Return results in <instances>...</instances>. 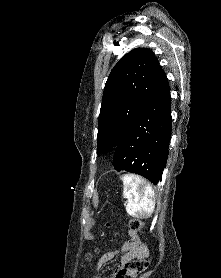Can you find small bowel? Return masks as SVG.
<instances>
[{"label":"small bowel","instance_id":"small-bowel-1","mask_svg":"<svg viewBox=\"0 0 221 278\" xmlns=\"http://www.w3.org/2000/svg\"><path fill=\"white\" fill-rule=\"evenodd\" d=\"M133 239L131 241L125 242L120 247V250L122 252L121 256V265H125L128 261L132 260L134 257L141 255L143 252H147V249L144 245H142L138 239L135 233H131ZM117 251H111L107 252L104 255H102L96 264V269H100L105 264L109 263L113 260L115 257ZM107 278H117L116 274H111Z\"/></svg>","mask_w":221,"mask_h":278}]
</instances>
